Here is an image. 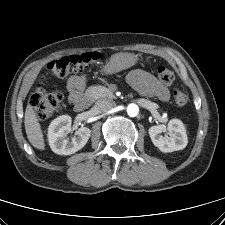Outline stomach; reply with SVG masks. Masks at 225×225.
Listing matches in <instances>:
<instances>
[{
	"mask_svg": "<svg viewBox=\"0 0 225 225\" xmlns=\"http://www.w3.org/2000/svg\"><path fill=\"white\" fill-rule=\"evenodd\" d=\"M137 63V57L132 53H117L112 55L102 67V72L106 75L120 72L130 68Z\"/></svg>",
	"mask_w": 225,
	"mask_h": 225,
	"instance_id": "0dacf381",
	"label": "stomach"
}]
</instances>
